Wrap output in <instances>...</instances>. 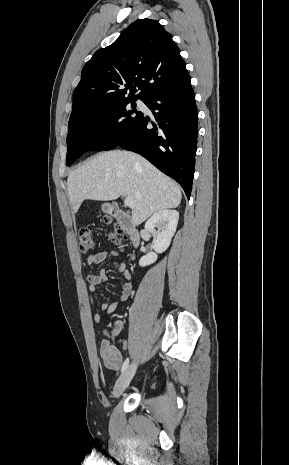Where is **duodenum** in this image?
<instances>
[{"mask_svg": "<svg viewBox=\"0 0 289 465\" xmlns=\"http://www.w3.org/2000/svg\"><path fill=\"white\" fill-rule=\"evenodd\" d=\"M108 212L118 220L121 227L128 233L132 244L134 246H138L140 243V234L134 226L130 216L127 213L120 210L114 204L109 206Z\"/></svg>", "mask_w": 289, "mask_h": 465, "instance_id": "obj_1", "label": "duodenum"}]
</instances>
